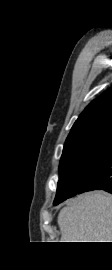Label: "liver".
<instances>
[{
    "label": "liver",
    "instance_id": "6515ba94",
    "mask_svg": "<svg viewBox=\"0 0 112 270\" xmlns=\"http://www.w3.org/2000/svg\"><path fill=\"white\" fill-rule=\"evenodd\" d=\"M61 242H112V195L89 192L58 215Z\"/></svg>",
    "mask_w": 112,
    "mask_h": 270
}]
</instances>
